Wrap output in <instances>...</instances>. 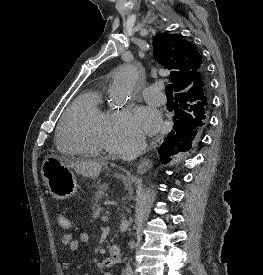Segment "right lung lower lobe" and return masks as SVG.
Masks as SVG:
<instances>
[{
	"mask_svg": "<svg viewBox=\"0 0 263 275\" xmlns=\"http://www.w3.org/2000/svg\"><path fill=\"white\" fill-rule=\"evenodd\" d=\"M201 76L207 79L205 69L201 70ZM208 81V79H207ZM183 95L175 96V115L173 130L167 135L165 141L159 147V155L162 163L170 161V156L177 152H186L200 138L207 124V116L195 112V109L187 108Z\"/></svg>",
	"mask_w": 263,
	"mask_h": 275,
	"instance_id": "1",
	"label": "right lung lower lobe"
}]
</instances>
